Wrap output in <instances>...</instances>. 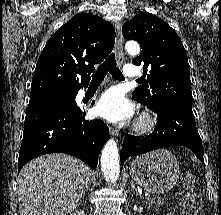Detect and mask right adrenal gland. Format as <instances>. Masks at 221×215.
I'll use <instances>...</instances> for the list:
<instances>
[{
  "mask_svg": "<svg viewBox=\"0 0 221 215\" xmlns=\"http://www.w3.org/2000/svg\"><path fill=\"white\" fill-rule=\"evenodd\" d=\"M85 189H86V190H89V189H90V180H88V183H87Z\"/></svg>",
  "mask_w": 221,
  "mask_h": 215,
  "instance_id": "2a0ac1e0",
  "label": "right adrenal gland"
}]
</instances>
